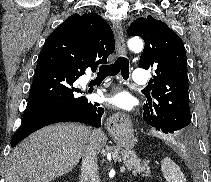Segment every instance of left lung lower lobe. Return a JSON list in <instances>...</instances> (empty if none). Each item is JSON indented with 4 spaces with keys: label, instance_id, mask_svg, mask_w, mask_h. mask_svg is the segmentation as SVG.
<instances>
[{
    "label": "left lung lower lobe",
    "instance_id": "0a47b994",
    "mask_svg": "<svg viewBox=\"0 0 211 182\" xmlns=\"http://www.w3.org/2000/svg\"><path fill=\"white\" fill-rule=\"evenodd\" d=\"M179 137L182 140V142H189V137H182V136Z\"/></svg>",
    "mask_w": 211,
    "mask_h": 182
}]
</instances>
